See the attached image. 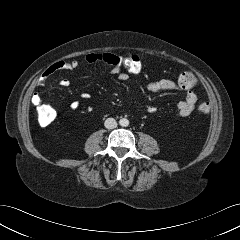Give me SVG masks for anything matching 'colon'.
<instances>
[{
  "mask_svg": "<svg viewBox=\"0 0 240 240\" xmlns=\"http://www.w3.org/2000/svg\"><path fill=\"white\" fill-rule=\"evenodd\" d=\"M103 63L110 65L115 70H120L127 75L139 74L143 69L142 59L137 55L121 56L111 53H104L100 57ZM197 83V78L194 73L190 71H185L180 74L178 78V84L183 90L192 89ZM210 106L206 102H202L197 106L198 112L202 114H207L209 112ZM37 118L41 126H48L56 118L55 110L40 102L36 105Z\"/></svg>",
  "mask_w": 240,
  "mask_h": 240,
  "instance_id": "1",
  "label": "colon"
}]
</instances>
